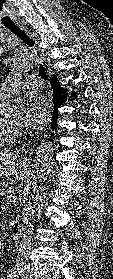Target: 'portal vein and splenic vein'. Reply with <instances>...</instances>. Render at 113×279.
Instances as JSON below:
<instances>
[{"label": "portal vein and splenic vein", "instance_id": "obj_1", "mask_svg": "<svg viewBox=\"0 0 113 279\" xmlns=\"http://www.w3.org/2000/svg\"><path fill=\"white\" fill-rule=\"evenodd\" d=\"M8 199L12 200V199H14V196L10 195Z\"/></svg>", "mask_w": 113, "mask_h": 279}]
</instances>
